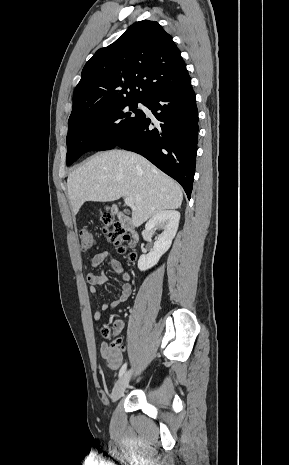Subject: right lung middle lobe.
<instances>
[{
	"mask_svg": "<svg viewBox=\"0 0 289 465\" xmlns=\"http://www.w3.org/2000/svg\"><path fill=\"white\" fill-rule=\"evenodd\" d=\"M144 100L99 101L82 107L78 121L68 129L67 165L87 151L113 149L140 122L144 112L137 109Z\"/></svg>",
	"mask_w": 289,
	"mask_h": 465,
	"instance_id": "dd1d6c3e",
	"label": "right lung middle lobe"
}]
</instances>
